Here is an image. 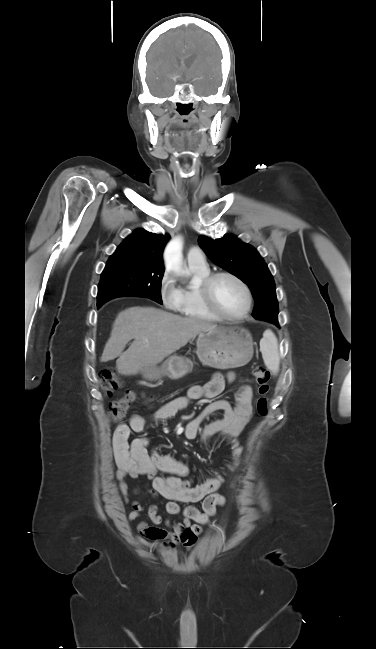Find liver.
Wrapping results in <instances>:
<instances>
[{
	"label": "liver",
	"instance_id": "liver-1",
	"mask_svg": "<svg viewBox=\"0 0 376 649\" xmlns=\"http://www.w3.org/2000/svg\"><path fill=\"white\" fill-rule=\"evenodd\" d=\"M215 328L216 324L155 307H131L117 315L100 361L108 362L118 357V372L125 376L135 375L143 368L161 363L200 332ZM131 339L133 343L123 352Z\"/></svg>",
	"mask_w": 376,
	"mask_h": 649
}]
</instances>
